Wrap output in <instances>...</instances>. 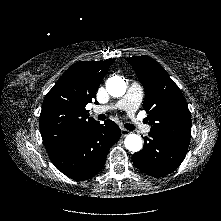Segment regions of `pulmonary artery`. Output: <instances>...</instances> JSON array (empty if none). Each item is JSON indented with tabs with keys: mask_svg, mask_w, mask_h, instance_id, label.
<instances>
[{
	"mask_svg": "<svg viewBox=\"0 0 221 221\" xmlns=\"http://www.w3.org/2000/svg\"><path fill=\"white\" fill-rule=\"evenodd\" d=\"M143 89L142 87L134 82L128 88L127 93L123 98L118 100L116 103L99 106L94 109L95 112H106L111 110H124L127 112L128 116L131 118L133 125L137 128H142L143 131L148 132L150 130L149 126H144L139 119L136 118L135 112L142 100Z\"/></svg>",
	"mask_w": 221,
	"mask_h": 221,
	"instance_id": "1",
	"label": "pulmonary artery"
}]
</instances>
